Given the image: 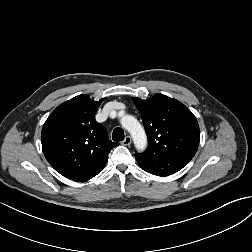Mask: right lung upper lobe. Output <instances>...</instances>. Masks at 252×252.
Masks as SVG:
<instances>
[{"instance_id":"cb5924a9","label":"right lung upper lobe","mask_w":252,"mask_h":252,"mask_svg":"<svg viewBox=\"0 0 252 252\" xmlns=\"http://www.w3.org/2000/svg\"><path fill=\"white\" fill-rule=\"evenodd\" d=\"M102 101L76 96L59 105L43 125V153L51 166L69 179L103 169L110 150L118 145L95 120Z\"/></svg>"}]
</instances>
